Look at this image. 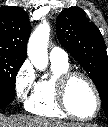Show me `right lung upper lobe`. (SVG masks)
<instances>
[{
    "mask_svg": "<svg viewBox=\"0 0 108 127\" xmlns=\"http://www.w3.org/2000/svg\"><path fill=\"white\" fill-rule=\"evenodd\" d=\"M31 32L28 14L20 7H0V53L26 59Z\"/></svg>",
    "mask_w": 108,
    "mask_h": 127,
    "instance_id": "1",
    "label": "right lung upper lobe"
}]
</instances>
